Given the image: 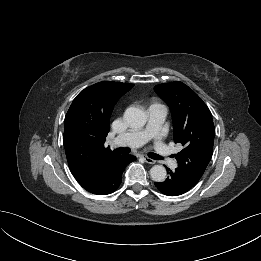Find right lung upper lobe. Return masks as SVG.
<instances>
[{
	"instance_id": "right-lung-upper-lobe-1",
	"label": "right lung upper lobe",
	"mask_w": 261,
	"mask_h": 261,
	"mask_svg": "<svg viewBox=\"0 0 261 261\" xmlns=\"http://www.w3.org/2000/svg\"><path fill=\"white\" fill-rule=\"evenodd\" d=\"M133 86L103 81L85 88L73 100L65 116L63 143L71 173L80 185L120 156L104 143L116 102Z\"/></svg>"
}]
</instances>
